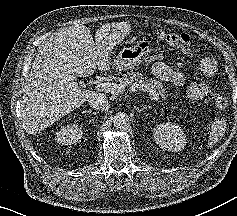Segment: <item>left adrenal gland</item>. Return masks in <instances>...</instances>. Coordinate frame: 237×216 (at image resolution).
<instances>
[{"instance_id": "left-adrenal-gland-1", "label": "left adrenal gland", "mask_w": 237, "mask_h": 216, "mask_svg": "<svg viewBox=\"0 0 237 216\" xmlns=\"http://www.w3.org/2000/svg\"><path fill=\"white\" fill-rule=\"evenodd\" d=\"M147 107H143V108H138V107H136L135 109L140 113L141 111H143L144 109H146Z\"/></svg>"}]
</instances>
